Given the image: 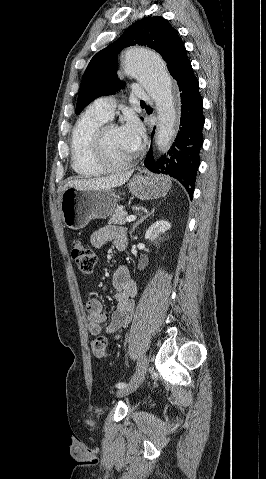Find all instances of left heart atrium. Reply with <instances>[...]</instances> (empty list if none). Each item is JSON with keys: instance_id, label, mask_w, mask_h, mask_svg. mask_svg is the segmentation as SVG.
<instances>
[{"instance_id": "1", "label": "left heart atrium", "mask_w": 266, "mask_h": 479, "mask_svg": "<svg viewBox=\"0 0 266 479\" xmlns=\"http://www.w3.org/2000/svg\"><path fill=\"white\" fill-rule=\"evenodd\" d=\"M120 131L129 150L132 153L135 152L140 146L141 137L143 134L140 123L134 118H129L127 122L120 128Z\"/></svg>"}]
</instances>
